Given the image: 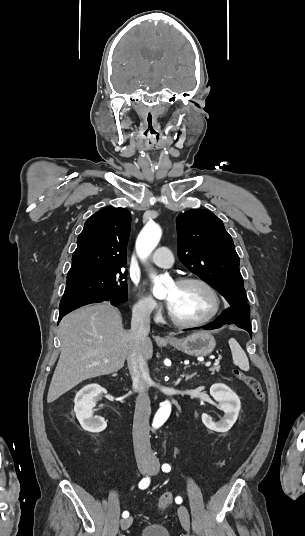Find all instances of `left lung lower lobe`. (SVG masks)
Instances as JSON below:
<instances>
[{"instance_id":"left-lung-lower-lobe-1","label":"left lung lower lobe","mask_w":305,"mask_h":536,"mask_svg":"<svg viewBox=\"0 0 305 536\" xmlns=\"http://www.w3.org/2000/svg\"><path fill=\"white\" fill-rule=\"evenodd\" d=\"M249 319V305L244 304L241 306L229 307L214 323H210L203 328L211 330L220 328L225 324H235L239 328L246 330L252 337V327Z\"/></svg>"}]
</instances>
